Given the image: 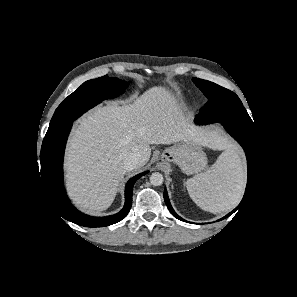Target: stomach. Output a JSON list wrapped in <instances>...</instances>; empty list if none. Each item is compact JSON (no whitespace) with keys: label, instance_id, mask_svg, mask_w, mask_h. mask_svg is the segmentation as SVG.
Segmentation results:
<instances>
[{"label":"stomach","instance_id":"1","mask_svg":"<svg viewBox=\"0 0 297 297\" xmlns=\"http://www.w3.org/2000/svg\"><path fill=\"white\" fill-rule=\"evenodd\" d=\"M162 159L177 164L187 175L197 174L207 167L206 153L192 142H180L165 149Z\"/></svg>","mask_w":297,"mask_h":297}]
</instances>
